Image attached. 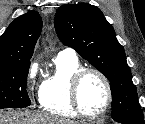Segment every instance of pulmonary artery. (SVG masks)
I'll list each match as a JSON object with an SVG mask.
<instances>
[{
  "mask_svg": "<svg viewBox=\"0 0 145 124\" xmlns=\"http://www.w3.org/2000/svg\"><path fill=\"white\" fill-rule=\"evenodd\" d=\"M60 55H66L69 57H76V53L73 49L67 48L59 52Z\"/></svg>",
  "mask_w": 145,
  "mask_h": 124,
  "instance_id": "pulmonary-artery-1",
  "label": "pulmonary artery"
}]
</instances>
